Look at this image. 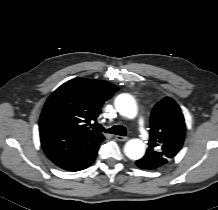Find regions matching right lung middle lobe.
<instances>
[{"mask_svg":"<svg viewBox=\"0 0 218 210\" xmlns=\"http://www.w3.org/2000/svg\"><path fill=\"white\" fill-rule=\"evenodd\" d=\"M60 118L52 111H43L40 117V130H59Z\"/></svg>","mask_w":218,"mask_h":210,"instance_id":"dd1d6c3e","label":"right lung middle lobe"}]
</instances>
